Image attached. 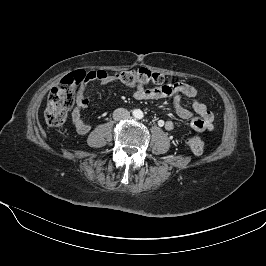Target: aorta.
I'll return each mask as SVG.
<instances>
[{"instance_id":"762f6f07","label":"aorta","mask_w":266,"mask_h":266,"mask_svg":"<svg viewBox=\"0 0 266 266\" xmlns=\"http://www.w3.org/2000/svg\"><path fill=\"white\" fill-rule=\"evenodd\" d=\"M133 116L137 119H141L143 117V112L140 109L134 110Z\"/></svg>"}]
</instances>
